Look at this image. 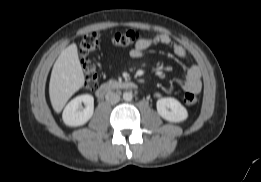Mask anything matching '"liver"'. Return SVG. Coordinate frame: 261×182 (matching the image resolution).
<instances>
[{"instance_id":"1","label":"liver","mask_w":261,"mask_h":182,"mask_svg":"<svg viewBox=\"0 0 261 182\" xmlns=\"http://www.w3.org/2000/svg\"><path fill=\"white\" fill-rule=\"evenodd\" d=\"M84 82L77 45L72 43L60 53L51 72L49 96L56 113L62 111L71 96L83 87Z\"/></svg>"}]
</instances>
